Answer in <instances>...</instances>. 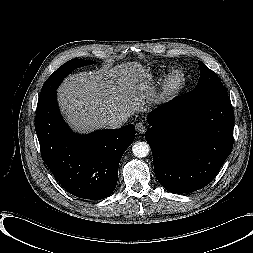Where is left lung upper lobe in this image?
Here are the masks:
<instances>
[{
  "mask_svg": "<svg viewBox=\"0 0 253 253\" xmlns=\"http://www.w3.org/2000/svg\"><path fill=\"white\" fill-rule=\"evenodd\" d=\"M200 66V78L196 87L192 90L198 98L203 99L211 95L223 84L215 72L210 70L204 63L198 61Z\"/></svg>",
  "mask_w": 253,
  "mask_h": 253,
  "instance_id": "obj_1",
  "label": "left lung upper lobe"
}]
</instances>
